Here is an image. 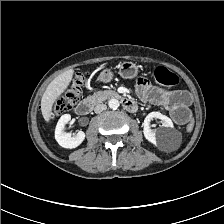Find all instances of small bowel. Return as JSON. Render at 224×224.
<instances>
[{
	"label": "small bowel",
	"instance_id": "obj_1",
	"mask_svg": "<svg viewBox=\"0 0 224 224\" xmlns=\"http://www.w3.org/2000/svg\"><path fill=\"white\" fill-rule=\"evenodd\" d=\"M139 98L147 103L166 109L178 124H184L188 118H179L191 103V96L183 90H166L140 79L136 85ZM189 112V111H188Z\"/></svg>",
	"mask_w": 224,
	"mask_h": 224
}]
</instances>
